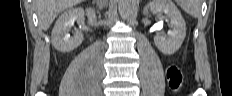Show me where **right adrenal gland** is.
Listing matches in <instances>:
<instances>
[{"label": "right adrenal gland", "mask_w": 232, "mask_h": 96, "mask_svg": "<svg viewBox=\"0 0 232 96\" xmlns=\"http://www.w3.org/2000/svg\"><path fill=\"white\" fill-rule=\"evenodd\" d=\"M93 2L96 3L98 10H102L106 6V1L104 0H93Z\"/></svg>", "instance_id": "1"}]
</instances>
